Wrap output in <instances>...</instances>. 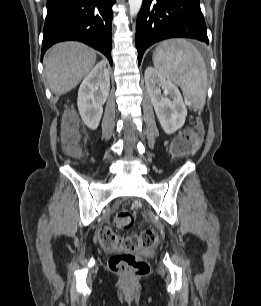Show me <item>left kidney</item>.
<instances>
[{"label":"left kidney","instance_id":"1","mask_svg":"<svg viewBox=\"0 0 261 306\" xmlns=\"http://www.w3.org/2000/svg\"><path fill=\"white\" fill-rule=\"evenodd\" d=\"M145 85L164 132L175 133L184 125L187 116L179 89L153 67L145 71ZM161 89L165 96L161 94Z\"/></svg>","mask_w":261,"mask_h":306}]
</instances>
